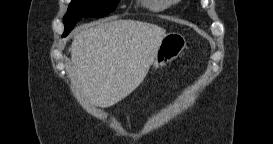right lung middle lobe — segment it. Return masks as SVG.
<instances>
[{
    "label": "right lung middle lobe",
    "mask_w": 273,
    "mask_h": 144,
    "mask_svg": "<svg viewBox=\"0 0 273 144\" xmlns=\"http://www.w3.org/2000/svg\"><path fill=\"white\" fill-rule=\"evenodd\" d=\"M119 0H72L64 16L63 37L73 29L76 21L83 17H102L112 12Z\"/></svg>",
    "instance_id": "dd1d6c3e"
}]
</instances>
